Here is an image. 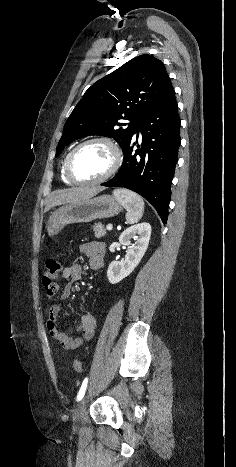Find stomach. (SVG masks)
<instances>
[{
  "instance_id": "obj_1",
  "label": "stomach",
  "mask_w": 236,
  "mask_h": 467,
  "mask_svg": "<svg viewBox=\"0 0 236 467\" xmlns=\"http://www.w3.org/2000/svg\"><path fill=\"white\" fill-rule=\"evenodd\" d=\"M121 210V204L111 195L71 202L51 214L47 224V231L49 236H54L68 224L109 218L119 214Z\"/></svg>"
}]
</instances>
